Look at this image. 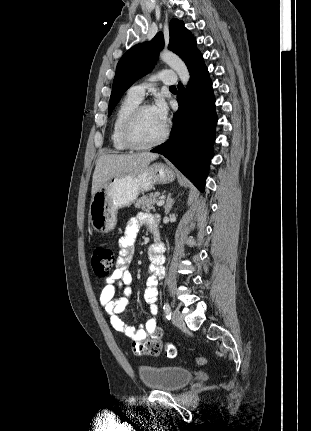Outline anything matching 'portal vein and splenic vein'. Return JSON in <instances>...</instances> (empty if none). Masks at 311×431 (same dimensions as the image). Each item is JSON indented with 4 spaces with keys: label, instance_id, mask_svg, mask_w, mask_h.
I'll return each instance as SVG.
<instances>
[{
    "label": "portal vein and splenic vein",
    "instance_id": "1",
    "mask_svg": "<svg viewBox=\"0 0 311 431\" xmlns=\"http://www.w3.org/2000/svg\"><path fill=\"white\" fill-rule=\"evenodd\" d=\"M163 204H165L164 200H158V202H156V206H163Z\"/></svg>",
    "mask_w": 311,
    "mask_h": 431
}]
</instances>
